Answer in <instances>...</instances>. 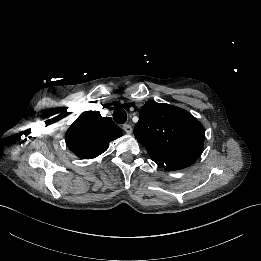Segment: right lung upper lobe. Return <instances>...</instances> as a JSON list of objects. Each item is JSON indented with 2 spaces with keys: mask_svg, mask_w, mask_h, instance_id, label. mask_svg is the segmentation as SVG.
Returning a JSON list of instances; mask_svg holds the SVG:
<instances>
[{
  "mask_svg": "<svg viewBox=\"0 0 261 261\" xmlns=\"http://www.w3.org/2000/svg\"><path fill=\"white\" fill-rule=\"evenodd\" d=\"M84 112L75 120L65 135L67 147L79 158L92 159L105 152L112 140L122 136V131L110 118L99 112Z\"/></svg>",
  "mask_w": 261,
  "mask_h": 261,
  "instance_id": "cb5924a9",
  "label": "right lung upper lobe"
}]
</instances>
